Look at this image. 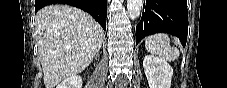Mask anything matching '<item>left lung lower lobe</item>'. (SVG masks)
<instances>
[{"label":"left lung lower lobe","mask_w":227,"mask_h":88,"mask_svg":"<svg viewBox=\"0 0 227 88\" xmlns=\"http://www.w3.org/2000/svg\"><path fill=\"white\" fill-rule=\"evenodd\" d=\"M136 32V44L147 35L165 32L177 36L185 46L188 34L186 0H146Z\"/></svg>","instance_id":"1"}]
</instances>
